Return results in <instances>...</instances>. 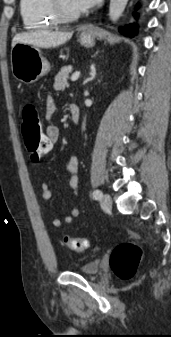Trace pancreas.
Returning a JSON list of instances; mask_svg holds the SVG:
<instances>
[{
    "label": "pancreas",
    "mask_w": 171,
    "mask_h": 337,
    "mask_svg": "<svg viewBox=\"0 0 171 337\" xmlns=\"http://www.w3.org/2000/svg\"><path fill=\"white\" fill-rule=\"evenodd\" d=\"M71 70V66H65L61 68L60 72L55 77V83L53 85L56 91L65 90L67 87H69L67 80Z\"/></svg>",
    "instance_id": "1"
}]
</instances>
